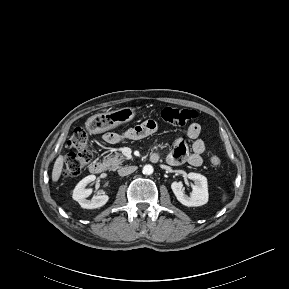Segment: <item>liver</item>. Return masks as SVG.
Returning <instances> with one entry per match:
<instances>
[{
  "label": "liver",
  "instance_id": "liver-1",
  "mask_svg": "<svg viewBox=\"0 0 289 289\" xmlns=\"http://www.w3.org/2000/svg\"><path fill=\"white\" fill-rule=\"evenodd\" d=\"M64 156L59 155L58 158L56 159L53 170H52V181L57 182L61 176L62 170H63V165H64Z\"/></svg>",
  "mask_w": 289,
  "mask_h": 289
}]
</instances>
